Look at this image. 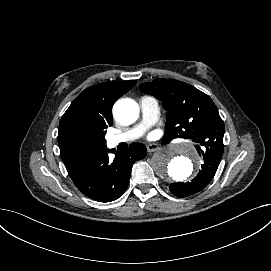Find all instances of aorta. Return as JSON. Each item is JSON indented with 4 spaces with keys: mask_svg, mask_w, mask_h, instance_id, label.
Instances as JSON below:
<instances>
[{
    "mask_svg": "<svg viewBox=\"0 0 271 271\" xmlns=\"http://www.w3.org/2000/svg\"><path fill=\"white\" fill-rule=\"evenodd\" d=\"M115 119L122 124H132L139 116V106L131 99L117 101L113 107ZM200 158L186 145H169L153 154L151 166L165 180L183 181L190 177Z\"/></svg>",
    "mask_w": 271,
    "mask_h": 271,
    "instance_id": "1",
    "label": "aorta"
}]
</instances>
